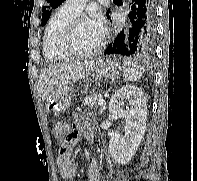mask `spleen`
<instances>
[{
    "instance_id": "1",
    "label": "spleen",
    "mask_w": 197,
    "mask_h": 181,
    "mask_svg": "<svg viewBox=\"0 0 197 181\" xmlns=\"http://www.w3.org/2000/svg\"><path fill=\"white\" fill-rule=\"evenodd\" d=\"M124 77L128 81L139 80L144 72V68L133 62L131 59H124L123 62Z\"/></svg>"
}]
</instances>
